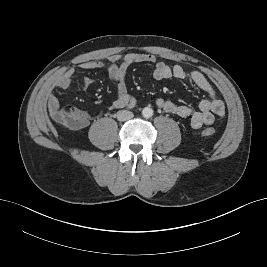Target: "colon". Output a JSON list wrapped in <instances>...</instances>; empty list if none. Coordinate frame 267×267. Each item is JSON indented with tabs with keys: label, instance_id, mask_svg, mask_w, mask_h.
<instances>
[{
	"label": "colon",
	"instance_id": "colon-1",
	"mask_svg": "<svg viewBox=\"0 0 267 267\" xmlns=\"http://www.w3.org/2000/svg\"><path fill=\"white\" fill-rule=\"evenodd\" d=\"M61 124L65 125L66 127L76 129L79 128L81 119L72 109H64L58 114L56 118ZM203 136H212L215 134V130L213 128H205L202 130Z\"/></svg>",
	"mask_w": 267,
	"mask_h": 267
}]
</instances>
